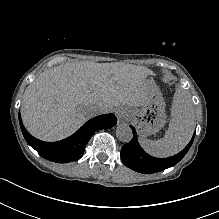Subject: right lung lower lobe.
<instances>
[{
    "label": "right lung lower lobe",
    "mask_w": 219,
    "mask_h": 219,
    "mask_svg": "<svg viewBox=\"0 0 219 219\" xmlns=\"http://www.w3.org/2000/svg\"><path fill=\"white\" fill-rule=\"evenodd\" d=\"M19 123L27 143L42 157L57 163H68L80 159L92 135L99 129L115 126L117 118L113 114L100 115L87 121L76 133L58 142H44L31 136L24 128L20 113Z\"/></svg>",
    "instance_id": "1"
}]
</instances>
